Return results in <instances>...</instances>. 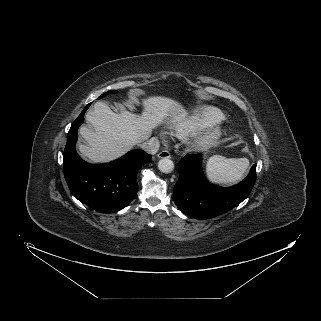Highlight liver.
<instances>
[{"label": "liver", "instance_id": "6515ba94", "mask_svg": "<svg viewBox=\"0 0 321 321\" xmlns=\"http://www.w3.org/2000/svg\"><path fill=\"white\" fill-rule=\"evenodd\" d=\"M140 104L143 111L136 115L128 110L116 114L105 103L96 102L86 114L94 130L85 126L79 129L85 140L84 144H78L81 155L93 163L109 162L148 139L167 120H179L187 115L178 101L168 97L146 96Z\"/></svg>", "mask_w": 321, "mask_h": 321}]
</instances>
